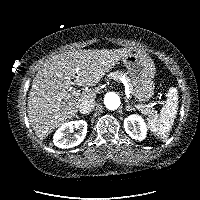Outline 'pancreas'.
Instances as JSON below:
<instances>
[{"instance_id":"obj_1","label":"pancreas","mask_w":200,"mask_h":200,"mask_svg":"<svg viewBox=\"0 0 200 200\" xmlns=\"http://www.w3.org/2000/svg\"><path fill=\"white\" fill-rule=\"evenodd\" d=\"M121 77L125 78V79L129 82V79L127 78V76H126L125 74L121 73V72H112V73H110V74L108 75V78H109V79H113V80H115V81H118L119 78H121ZM129 85H130V89H131V83H129ZM145 113H146L149 117H154V116H156V115L153 113V111H150V110H146Z\"/></svg>"}]
</instances>
